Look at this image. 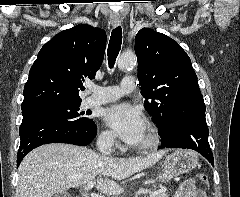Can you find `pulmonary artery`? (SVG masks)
Here are the masks:
<instances>
[{
	"mask_svg": "<svg viewBox=\"0 0 240 197\" xmlns=\"http://www.w3.org/2000/svg\"><path fill=\"white\" fill-rule=\"evenodd\" d=\"M135 88V79L130 75L125 76L118 86H91L90 90L92 94L86 99V105L92 107L116 101L122 96L134 91Z\"/></svg>",
	"mask_w": 240,
	"mask_h": 197,
	"instance_id": "pulmonary-artery-1",
	"label": "pulmonary artery"
}]
</instances>
